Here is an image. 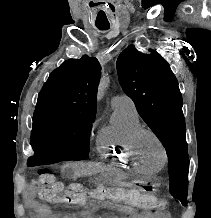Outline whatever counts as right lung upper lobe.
Listing matches in <instances>:
<instances>
[{
  "mask_svg": "<svg viewBox=\"0 0 211 218\" xmlns=\"http://www.w3.org/2000/svg\"><path fill=\"white\" fill-rule=\"evenodd\" d=\"M101 66L95 57L65 61L49 76L39 93L36 109L96 113Z\"/></svg>",
  "mask_w": 211,
  "mask_h": 218,
  "instance_id": "obj_1",
  "label": "right lung upper lobe"
}]
</instances>
